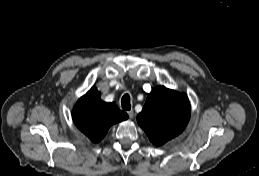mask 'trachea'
I'll return each instance as SVG.
<instances>
[{"mask_svg":"<svg viewBox=\"0 0 259 176\" xmlns=\"http://www.w3.org/2000/svg\"><path fill=\"white\" fill-rule=\"evenodd\" d=\"M121 105L124 110L131 109L130 96L129 94H125L121 99Z\"/></svg>","mask_w":259,"mask_h":176,"instance_id":"obj_1","label":"trachea"}]
</instances>
